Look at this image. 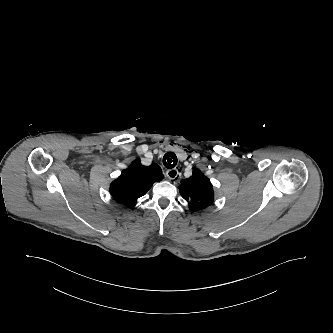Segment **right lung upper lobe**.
<instances>
[{"mask_svg":"<svg viewBox=\"0 0 333 333\" xmlns=\"http://www.w3.org/2000/svg\"><path fill=\"white\" fill-rule=\"evenodd\" d=\"M162 178V170L157 164L143 166L136 160L111 183L110 193L117 202L133 208L137 199L145 195L153 183L161 181Z\"/></svg>","mask_w":333,"mask_h":333,"instance_id":"cb5924a9","label":"right lung upper lobe"}]
</instances>
